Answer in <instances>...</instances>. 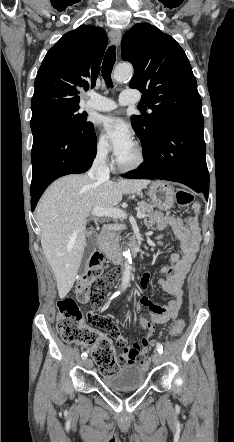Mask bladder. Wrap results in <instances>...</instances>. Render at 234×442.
<instances>
[{
	"label": "bladder",
	"instance_id": "obj_1",
	"mask_svg": "<svg viewBox=\"0 0 234 442\" xmlns=\"http://www.w3.org/2000/svg\"><path fill=\"white\" fill-rule=\"evenodd\" d=\"M146 380V370L138 365L121 367L112 377L102 378L103 384L111 390H131L141 387Z\"/></svg>",
	"mask_w": 234,
	"mask_h": 442
}]
</instances>
